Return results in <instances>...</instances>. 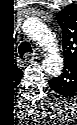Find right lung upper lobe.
<instances>
[{
  "instance_id": "cb5924a9",
  "label": "right lung upper lobe",
  "mask_w": 77,
  "mask_h": 125,
  "mask_svg": "<svg viewBox=\"0 0 77 125\" xmlns=\"http://www.w3.org/2000/svg\"><path fill=\"white\" fill-rule=\"evenodd\" d=\"M20 72L21 71L17 67L11 66L7 71V75L9 76V78H15Z\"/></svg>"
}]
</instances>
